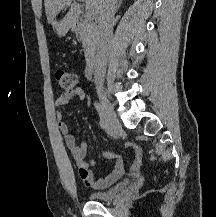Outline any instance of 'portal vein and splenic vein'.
<instances>
[{
  "instance_id": "18ae733b",
  "label": "portal vein and splenic vein",
  "mask_w": 216,
  "mask_h": 217,
  "mask_svg": "<svg viewBox=\"0 0 216 217\" xmlns=\"http://www.w3.org/2000/svg\"><path fill=\"white\" fill-rule=\"evenodd\" d=\"M82 2L83 0H79ZM95 17V13L93 11L87 10L86 11V19L87 20H92Z\"/></svg>"
}]
</instances>
